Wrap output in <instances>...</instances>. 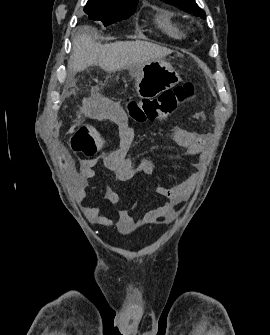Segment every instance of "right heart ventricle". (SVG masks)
<instances>
[{
	"label": "right heart ventricle",
	"instance_id": "1",
	"mask_svg": "<svg viewBox=\"0 0 270 335\" xmlns=\"http://www.w3.org/2000/svg\"><path fill=\"white\" fill-rule=\"evenodd\" d=\"M155 24L162 33L173 39H180L184 35L181 27L174 21L172 13L166 9H158Z\"/></svg>",
	"mask_w": 270,
	"mask_h": 335
}]
</instances>
